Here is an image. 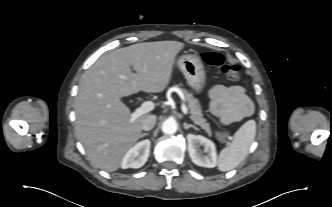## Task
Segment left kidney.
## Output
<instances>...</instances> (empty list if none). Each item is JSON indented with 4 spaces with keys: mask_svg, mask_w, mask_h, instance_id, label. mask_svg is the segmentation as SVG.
I'll list each match as a JSON object with an SVG mask.
<instances>
[{
    "mask_svg": "<svg viewBox=\"0 0 332 207\" xmlns=\"http://www.w3.org/2000/svg\"><path fill=\"white\" fill-rule=\"evenodd\" d=\"M188 151L192 162L198 166L214 168L217 165V154L214 143L200 135L188 134ZM200 146L204 147L205 155Z\"/></svg>",
    "mask_w": 332,
    "mask_h": 207,
    "instance_id": "1",
    "label": "left kidney"
}]
</instances>
